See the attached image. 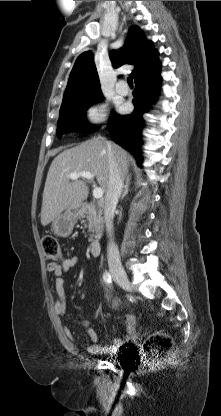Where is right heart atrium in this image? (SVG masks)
I'll return each mask as SVG.
<instances>
[{
	"label": "right heart atrium",
	"mask_w": 221,
	"mask_h": 416,
	"mask_svg": "<svg viewBox=\"0 0 221 416\" xmlns=\"http://www.w3.org/2000/svg\"><path fill=\"white\" fill-rule=\"evenodd\" d=\"M107 116V106L102 102L91 104L85 111V120L89 126L102 125Z\"/></svg>",
	"instance_id": "1"
}]
</instances>
